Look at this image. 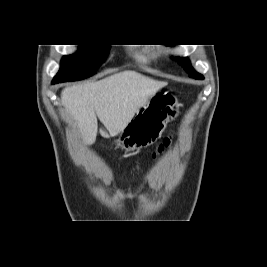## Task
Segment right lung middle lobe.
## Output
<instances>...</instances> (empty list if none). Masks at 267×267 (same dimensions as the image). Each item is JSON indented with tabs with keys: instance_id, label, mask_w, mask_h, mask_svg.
Here are the masks:
<instances>
[{
	"instance_id": "dd1d6c3e",
	"label": "right lung middle lobe",
	"mask_w": 267,
	"mask_h": 267,
	"mask_svg": "<svg viewBox=\"0 0 267 267\" xmlns=\"http://www.w3.org/2000/svg\"><path fill=\"white\" fill-rule=\"evenodd\" d=\"M73 55L64 56L54 83L76 81L93 75L109 51L110 45H79Z\"/></svg>"
}]
</instances>
